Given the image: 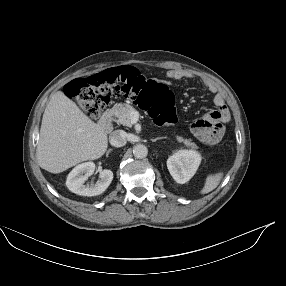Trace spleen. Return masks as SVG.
Returning <instances> with one entry per match:
<instances>
[{"label": "spleen", "instance_id": "spleen-1", "mask_svg": "<svg viewBox=\"0 0 286 286\" xmlns=\"http://www.w3.org/2000/svg\"><path fill=\"white\" fill-rule=\"evenodd\" d=\"M223 177L222 173L217 174H209L206 177L204 187L201 189V194H207L214 190L220 183L221 179Z\"/></svg>", "mask_w": 286, "mask_h": 286}]
</instances>
